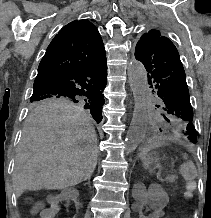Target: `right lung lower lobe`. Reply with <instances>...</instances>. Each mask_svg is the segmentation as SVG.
<instances>
[{
    "label": "right lung lower lobe",
    "mask_w": 211,
    "mask_h": 218,
    "mask_svg": "<svg viewBox=\"0 0 211 218\" xmlns=\"http://www.w3.org/2000/svg\"><path fill=\"white\" fill-rule=\"evenodd\" d=\"M107 62L103 60L58 75L34 87L32 98L40 97H104Z\"/></svg>",
    "instance_id": "right-lung-lower-lobe-1"
}]
</instances>
